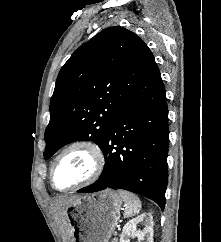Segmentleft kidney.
I'll return each instance as SVG.
<instances>
[{
  "label": "left kidney",
  "mask_w": 221,
  "mask_h": 242,
  "mask_svg": "<svg viewBox=\"0 0 221 242\" xmlns=\"http://www.w3.org/2000/svg\"><path fill=\"white\" fill-rule=\"evenodd\" d=\"M139 224L144 225L142 230L137 229ZM153 226L152 215L143 213L126 223L120 235V242H130V238L133 236L138 237L139 242L144 240H146L145 242H153Z\"/></svg>",
  "instance_id": "left-kidney-1"
}]
</instances>
